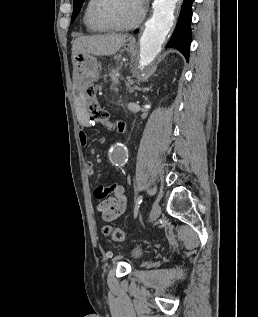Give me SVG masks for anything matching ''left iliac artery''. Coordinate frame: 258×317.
Listing matches in <instances>:
<instances>
[{"label": "left iliac artery", "mask_w": 258, "mask_h": 317, "mask_svg": "<svg viewBox=\"0 0 258 317\" xmlns=\"http://www.w3.org/2000/svg\"><path fill=\"white\" fill-rule=\"evenodd\" d=\"M142 201H143V195H140V196L137 198L136 203H135L134 218H136L137 215H138L139 207H140V204L142 203Z\"/></svg>", "instance_id": "44dca946"}]
</instances>
